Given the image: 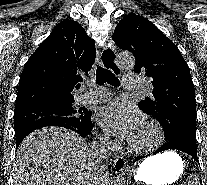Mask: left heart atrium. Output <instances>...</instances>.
Returning <instances> with one entry per match:
<instances>
[{
    "label": "left heart atrium",
    "instance_id": "left-heart-atrium-1",
    "mask_svg": "<svg viewBox=\"0 0 207 185\" xmlns=\"http://www.w3.org/2000/svg\"><path fill=\"white\" fill-rule=\"evenodd\" d=\"M97 120L108 133L128 140L145 123L142 112L124 99H117L102 107Z\"/></svg>",
    "mask_w": 207,
    "mask_h": 185
}]
</instances>
